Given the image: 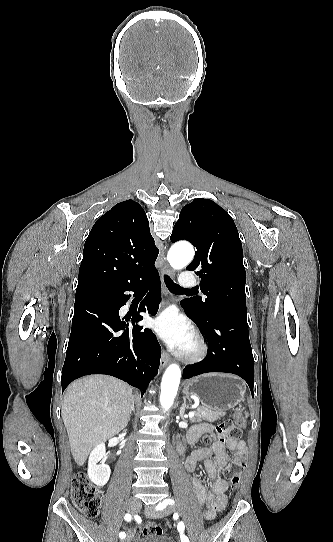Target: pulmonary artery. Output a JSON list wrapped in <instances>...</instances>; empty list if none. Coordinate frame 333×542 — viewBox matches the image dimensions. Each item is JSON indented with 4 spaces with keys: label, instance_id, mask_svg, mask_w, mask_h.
<instances>
[{
    "label": "pulmonary artery",
    "instance_id": "e3ab8cb5",
    "mask_svg": "<svg viewBox=\"0 0 333 542\" xmlns=\"http://www.w3.org/2000/svg\"><path fill=\"white\" fill-rule=\"evenodd\" d=\"M188 274L184 273L180 275V282L178 283L180 286L182 285L183 288L190 289L195 286L196 276L194 274H190V270L188 269L186 271Z\"/></svg>",
    "mask_w": 333,
    "mask_h": 542
}]
</instances>
